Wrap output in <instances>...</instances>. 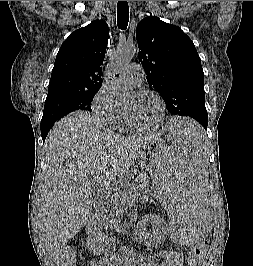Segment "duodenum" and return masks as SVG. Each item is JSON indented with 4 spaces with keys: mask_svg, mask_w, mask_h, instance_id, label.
<instances>
[{
    "mask_svg": "<svg viewBox=\"0 0 253 266\" xmlns=\"http://www.w3.org/2000/svg\"><path fill=\"white\" fill-rule=\"evenodd\" d=\"M97 261H100L101 264H102L103 262H105V261H102V260H97ZM106 262H107V264L109 263L108 260H107Z\"/></svg>",
    "mask_w": 253,
    "mask_h": 266,
    "instance_id": "1",
    "label": "duodenum"
}]
</instances>
